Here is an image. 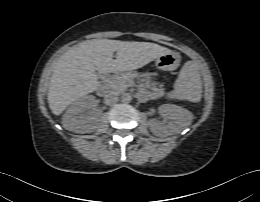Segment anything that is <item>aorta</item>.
<instances>
[{"label":"aorta","mask_w":260,"mask_h":202,"mask_svg":"<svg viewBox=\"0 0 260 202\" xmlns=\"http://www.w3.org/2000/svg\"><path fill=\"white\" fill-rule=\"evenodd\" d=\"M131 96L128 93L122 95L121 100L123 103H129L131 101Z\"/></svg>","instance_id":"obj_1"}]
</instances>
